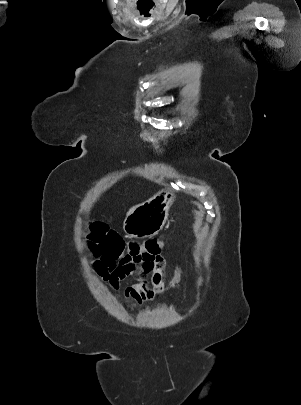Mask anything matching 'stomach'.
<instances>
[{
  "label": "stomach",
  "mask_w": 301,
  "mask_h": 405,
  "mask_svg": "<svg viewBox=\"0 0 301 405\" xmlns=\"http://www.w3.org/2000/svg\"><path fill=\"white\" fill-rule=\"evenodd\" d=\"M172 202L170 192H158L128 214L123 225L125 233L131 238L154 236L164 225Z\"/></svg>",
  "instance_id": "obj_1"
}]
</instances>
